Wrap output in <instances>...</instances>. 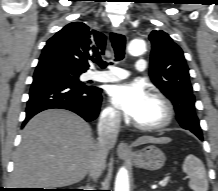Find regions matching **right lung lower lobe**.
I'll return each mask as SVG.
<instances>
[{
	"label": "right lung lower lobe",
	"mask_w": 218,
	"mask_h": 191,
	"mask_svg": "<svg viewBox=\"0 0 218 191\" xmlns=\"http://www.w3.org/2000/svg\"><path fill=\"white\" fill-rule=\"evenodd\" d=\"M29 95L23 125L37 113L53 108L73 111L89 122L98 116L102 101L100 88L76 85L54 67L36 68Z\"/></svg>",
	"instance_id": "obj_1"
}]
</instances>
